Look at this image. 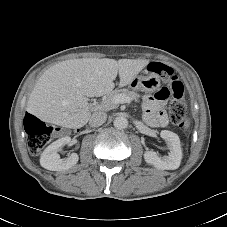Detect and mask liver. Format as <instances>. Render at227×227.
<instances>
[{
    "label": "liver",
    "instance_id": "6515ba94",
    "mask_svg": "<svg viewBox=\"0 0 227 227\" xmlns=\"http://www.w3.org/2000/svg\"><path fill=\"white\" fill-rule=\"evenodd\" d=\"M150 63L147 59L81 58L60 62L35 84L27 111L40 120L76 129L90 119L86 97L110 93L119 74V87L129 85Z\"/></svg>",
    "mask_w": 227,
    "mask_h": 227
}]
</instances>
